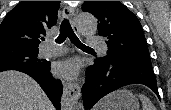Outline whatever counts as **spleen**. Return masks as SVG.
<instances>
[{
	"mask_svg": "<svg viewBox=\"0 0 171 110\" xmlns=\"http://www.w3.org/2000/svg\"><path fill=\"white\" fill-rule=\"evenodd\" d=\"M139 98L143 105L142 110H156L155 106L152 104L151 100L147 96L140 94Z\"/></svg>",
	"mask_w": 171,
	"mask_h": 110,
	"instance_id": "3e777b00",
	"label": "spleen"
}]
</instances>
